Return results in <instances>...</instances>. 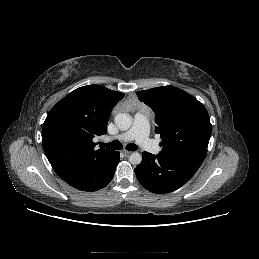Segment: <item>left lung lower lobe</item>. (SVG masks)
Returning <instances> with one entry per match:
<instances>
[{
  "instance_id": "left-lung-lower-lobe-1",
  "label": "left lung lower lobe",
  "mask_w": 259,
  "mask_h": 259,
  "mask_svg": "<svg viewBox=\"0 0 259 259\" xmlns=\"http://www.w3.org/2000/svg\"><path fill=\"white\" fill-rule=\"evenodd\" d=\"M199 166L162 155L142 153V162L135 174L140 184L147 190L169 193L184 185L198 170Z\"/></svg>"
}]
</instances>
